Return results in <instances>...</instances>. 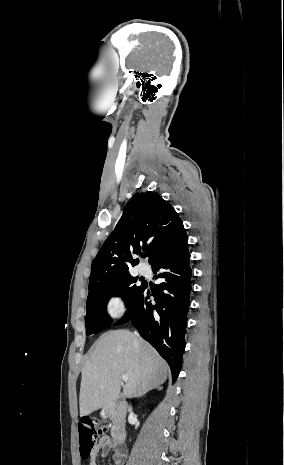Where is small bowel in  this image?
Segmentation results:
<instances>
[{"instance_id":"c3829d8e","label":"small bowel","mask_w":284,"mask_h":465,"mask_svg":"<svg viewBox=\"0 0 284 465\" xmlns=\"http://www.w3.org/2000/svg\"><path fill=\"white\" fill-rule=\"evenodd\" d=\"M111 451L110 440L108 436L102 437L94 446L89 465H97L96 456L101 452L107 455ZM113 461L115 465H121L122 455L116 451L113 452Z\"/></svg>"}]
</instances>
